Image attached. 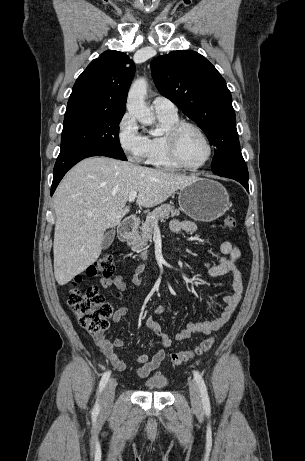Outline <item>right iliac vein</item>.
I'll return each mask as SVG.
<instances>
[{
	"instance_id": "63e3f726",
	"label": "right iliac vein",
	"mask_w": 305,
	"mask_h": 461,
	"mask_svg": "<svg viewBox=\"0 0 305 461\" xmlns=\"http://www.w3.org/2000/svg\"><path fill=\"white\" fill-rule=\"evenodd\" d=\"M116 385V380L110 379L105 386L102 401V408L105 411L108 410L113 403Z\"/></svg>"
}]
</instances>
